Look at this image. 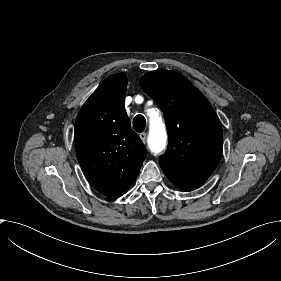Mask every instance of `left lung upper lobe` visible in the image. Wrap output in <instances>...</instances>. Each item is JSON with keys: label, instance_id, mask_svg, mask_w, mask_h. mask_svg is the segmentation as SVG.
<instances>
[{"label": "left lung upper lobe", "instance_id": "1", "mask_svg": "<svg viewBox=\"0 0 281 281\" xmlns=\"http://www.w3.org/2000/svg\"><path fill=\"white\" fill-rule=\"evenodd\" d=\"M140 85L164 113L168 147L159 161L213 172L222 155V128L204 95L184 76L167 70L145 74Z\"/></svg>", "mask_w": 281, "mask_h": 281}]
</instances>
